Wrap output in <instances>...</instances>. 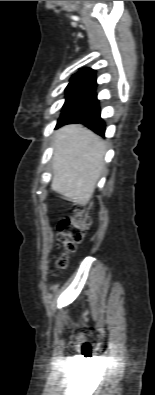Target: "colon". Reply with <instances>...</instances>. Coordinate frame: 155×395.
<instances>
[{
    "label": "colon",
    "instance_id": "1",
    "mask_svg": "<svg viewBox=\"0 0 155 395\" xmlns=\"http://www.w3.org/2000/svg\"><path fill=\"white\" fill-rule=\"evenodd\" d=\"M77 215L72 219L60 222L58 226V242L60 252L56 257L58 269H65L68 266V255L75 251L85 236V232L90 225V219L81 206H77Z\"/></svg>",
    "mask_w": 155,
    "mask_h": 395
}]
</instances>
